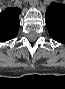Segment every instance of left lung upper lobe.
Returning a JSON list of instances; mask_svg holds the SVG:
<instances>
[{
	"instance_id": "obj_1",
	"label": "left lung upper lobe",
	"mask_w": 65,
	"mask_h": 89,
	"mask_svg": "<svg viewBox=\"0 0 65 89\" xmlns=\"http://www.w3.org/2000/svg\"><path fill=\"white\" fill-rule=\"evenodd\" d=\"M46 26L54 40L65 43V5L53 3L47 8Z\"/></svg>"
}]
</instances>
